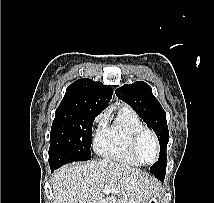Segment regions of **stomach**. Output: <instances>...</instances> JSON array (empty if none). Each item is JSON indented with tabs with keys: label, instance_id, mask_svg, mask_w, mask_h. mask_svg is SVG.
Instances as JSON below:
<instances>
[{
	"label": "stomach",
	"instance_id": "obj_1",
	"mask_svg": "<svg viewBox=\"0 0 214 203\" xmlns=\"http://www.w3.org/2000/svg\"><path fill=\"white\" fill-rule=\"evenodd\" d=\"M147 203H162L161 196L156 194Z\"/></svg>",
	"mask_w": 214,
	"mask_h": 203
}]
</instances>
